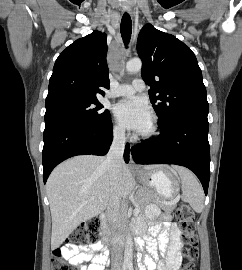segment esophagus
<instances>
[{
    "instance_id": "1",
    "label": "esophagus",
    "mask_w": 242,
    "mask_h": 270,
    "mask_svg": "<svg viewBox=\"0 0 242 270\" xmlns=\"http://www.w3.org/2000/svg\"><path fill=\"white\" fill-rule=\"evenodd\" d=\"M123 10H124L125 12H128L129 14L132 13V12H131V8H130V6H128V5H123ZM130 163H131V165H132L133 167L136 168V165H135L134 161L132 160V158H130Z\"/></svg>"
}]
</instances>
